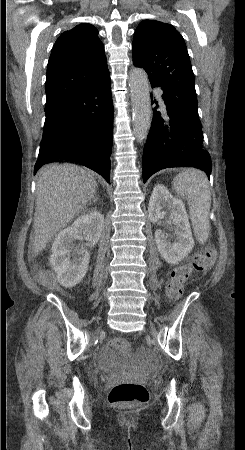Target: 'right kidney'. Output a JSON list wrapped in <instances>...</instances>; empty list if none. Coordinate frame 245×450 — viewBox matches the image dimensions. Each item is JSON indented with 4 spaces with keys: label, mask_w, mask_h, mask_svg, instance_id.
Listing matches in <instances>:
<instances>
[{
    "label": "right kidney",
    "mask_w": 245,
    "mask_h": 450,
    "mask_svg": "<svg viewBox=\"0 0 245 450\" xmlns=\"http://www.w3.org/2000/svg\"><path fill=\"white\" fill-rule=\"evenodd\" d=\"M103 227L104 216L94 211L80 216L71 226L63 229L56 236L49 261L62 286H75L88 271L90 253L83 248L77 250L74 241L84 235L89 242L88 246L93 247L99 241ZM71 252L74 255L72 259Z\"/></svg>",
    "instance_id": "ca27d5eb"
}]
</instances>
